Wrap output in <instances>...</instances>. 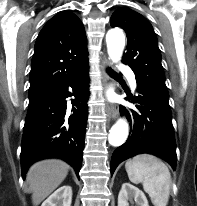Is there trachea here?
Segmentation results:
<instances>
[{"label": "trachea", "mask_w": 197, "mask_h": 206, "mask_svg": "<svg viewBox=\"0 0 197 206\" xmlns=\"http://www.w3.org/2000/svg\"><path fill=\"white\" fill-rule=\"evenodd\" d=\"M108 73L113 76H117L118 74L111 69H108Z\"/></svg>", "instance_id": "3493384b"}]
</instances>
